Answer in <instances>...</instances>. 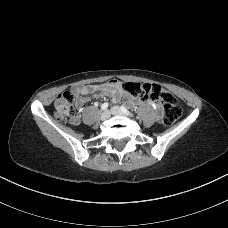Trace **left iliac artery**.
Wrapping results in <instances>:
<instances>
[{
    "mask_svg": "<svg viewBox=\"0 0 228 228\" xmlns=\"http://www.w3.org/2000/svg\"><path fill=\"white\" fill-rule=\"evenodd\" d=\"M121 110L126 113L127 115L134 116L133 113H131L128 109H126L124 106H121Z\"/></svg>",
    "mask_w": 228,
    "mask_h": 228,
    "instance_id": "left-iliac-artery-1",
    "label": "left iliac artery"
}]
</instances>
